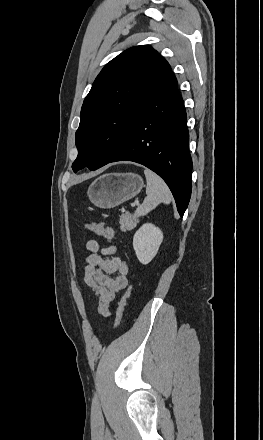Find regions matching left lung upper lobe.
<instances>
[{
    "label": "left lung upper lobe",
    "mask_w": 263,
    "mask_h": 440,
    "mask_svg": "<svg viewBox=\"0 0 263 440\" xmlns=\"http://www.w3.org/2000/svg\"><path fill=\"white\" fill-rule=\"evenodd\" d=\"M170 71L148 45L127 49L106 64L82 105L74 172L86 166L96 170L118 153L137 114Z\"/></svg>",
    "instance_id": "5c2ea615"
}]
</instances>
